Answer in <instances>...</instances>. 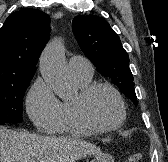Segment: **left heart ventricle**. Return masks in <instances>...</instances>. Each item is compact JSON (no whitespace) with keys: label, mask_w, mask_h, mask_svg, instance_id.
<instances>
[{"label":"left heart ventricle","mask_w":168,"mask_h":162,"mask_svg":"<svg viewBox=\"0 0 168 162\" xmlns=\"http://www.w3.org/2000/svg\"><path fill=\"white\" fill-rule=\"evenodd\" d=\"M87 111L97 124L105 126L114 124L120 116L114 95L106 89H98L89 97Z\"/></svg>","instance_id":"b2bd125f"}]
</instances>
